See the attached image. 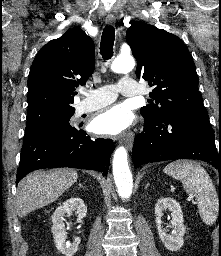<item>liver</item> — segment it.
Returning a JSON list of instances; mask_svg holds the SVG:
<instances>
[{"label": "liver", "instance_id": "1", "mask_svg": "<svg viewBox=\"0 0 221 256\" xmlns=\"http://www.w3.org/2000/svg\"><path fill=\"white\" fill-rule=\"evenodd\" d=\"M78 179L75 169L38 170L18 184L16 210L19 217L52 203Z\"/></svg>", "mask_w": 221, "mask_h": 256}]
</instances>
